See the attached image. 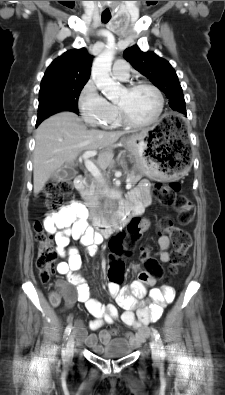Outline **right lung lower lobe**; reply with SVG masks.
I'll return each mask as SVG.
<instances>
[{"mask_svg":"<svg viewBox=\"0 0 225 395\" xmlns=\"http://www.w3.org/2000/svg\"><path fill=\"white\" fill-rule=\"evenodd\" d=\"M41 122H42V121H41ZM41 122H38V121H37L36 126H38Z\"/></svg>","mask_w":225,"mask_h":395,"instance_id":"right-lung-lower-lobe-1","label":"right lung lower lobe"}]
</instances>
